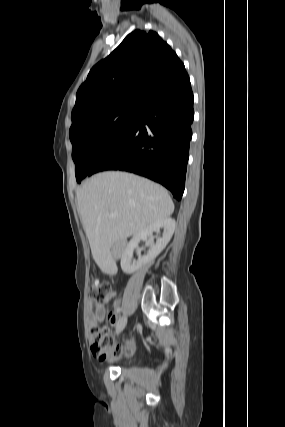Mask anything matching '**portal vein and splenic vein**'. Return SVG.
Returning <instances> with one entry per match:
<instances>
[{"label":"portal vein and splenic vein","mask_w":285,"mask_h":427,"mask_svg":"<svg viewBox=\"0 0 285 427\" xmlns=\"http://www.w3.org/2000/svg\"><path fill=\"white\" fill-rule=\"evenodd\" d=\"M117 214H118L117 212H113V213L110 214V216L111 217H115V216H117Z\"/></svg>","instance_id":"1"}]
</instances>
